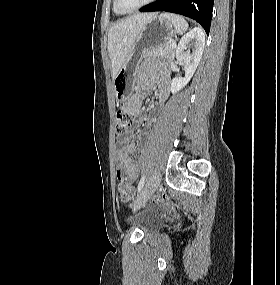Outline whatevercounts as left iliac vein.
<instances>
[{"instance_id": "left-iliac-vein-1", "label": "left iliac vein", "mask_w": 280, "mask_h": 285, "mask_svg": "<svg viewBox=\"0 0 280 285\" xmlns=\"http://www.w3.org/2000/svg\"><path fill=\"white\" fill-rule=\"evenodd\" d=\"M160 181H161L160 172H154L147 181V183L145 184L136 202L134 203L133 206L134 211L141 209L147 203L149 198L154 194V192L158 188Z\"/></svg>"}]
</instances>
